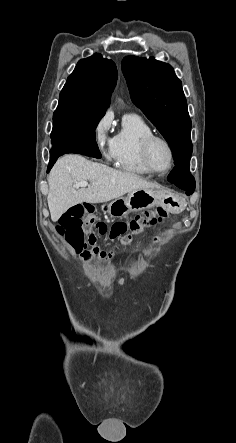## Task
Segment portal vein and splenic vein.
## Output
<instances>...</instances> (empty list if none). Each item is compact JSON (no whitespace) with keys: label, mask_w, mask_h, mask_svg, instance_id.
Masks as SVG:
<instances>
[{"label":"portal vein and splenic vein","mask_w":236,"mask_h":443,"mask_svg":"<svg viewBox=\"0 0 236 443\" xmlns=\"http://www.w3.org/2000/svg\"><path fill=\"white\" fill-rule=\"evenodd\" d=\"M86 186H88L87 181H80L74 184V188H79V187L84 188Z\"/></svg>","instance_id":"18ae733b"}]
</instances>
